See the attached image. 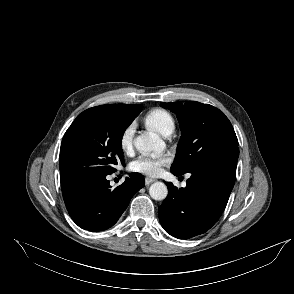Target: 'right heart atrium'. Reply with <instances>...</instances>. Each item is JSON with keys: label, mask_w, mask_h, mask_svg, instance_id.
<instances>
[{"label": "right heart atrium", "mask_w": 294, "mask_h": 294, "mask_svg": "<svg viewBox=\"0 0 294 294\" xmlns=\"http://www.w3.org/2000/svg\"><path fill=\"white\" fill-rule=\"evenodd\" d=\"M136 131V123L131 122L128 124L120 134L119 145L124 153H129L133 149L134 135Z\"/></svg>", "instance_id": "1"}]
</instances>
